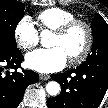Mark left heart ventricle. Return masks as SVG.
Segmentation results:
<instances>
[{"label":"left heart ventricle","instance_id":"1","mask_svg":"<svg viewBox=\"0 0 108 108\" xmlns=\"http://www.w3.org/2000/svg\"><path fill=\"white\" fill-rule=\"evenodd\" d=\"M86 35L81 27L73 29L66 36L54 34L51 38L50 45L60 47L69 58L81 52L85 45Z\"/></svg>","mask_w":108,"mask_h":108}]
</instances>
